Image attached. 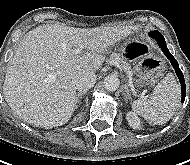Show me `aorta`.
I'll use <instances>...</instances> for the list:
<instances>
[{
	"instance_id": "762f6f07",
	"label": "aorta",
	"mask_w": 190,
	"mask_h": 165,
	"mask_svg": "<svg viewBox=\"0 0 190 165\" xmlns=\"http://www.w3.org/2000/svg\"><path fill=\"white\" fill-rule=\"evenodd\" d=\"M120 85V80L115 75H108L104 79V87L108 91H115L118 89Z\"/></svg>"
}]
</instances>
